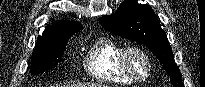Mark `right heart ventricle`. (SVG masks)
Wrapping results in <instances>:
<instances>
[{
	"instance_id": "obj_1",
	"label": "right heart ventricle",
	"mask_w": 205,
	"mask_h": 87,
	"mask_svg": "<svg viewBox=\"0 0 205 87\" xmlns=\"http://www.w3.org/2000/svg\"><path fill=\"white\" fill-rule=\"evenodd\" d=\"M124 46L109 37L95 40L86 50L85 68L94 80L115 85H130L134 81L124 74L119 56Z\"/></svg>"
}]
</instances>
